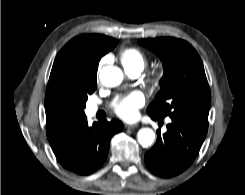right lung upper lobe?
<instances>
[{"label": "right lung upper lobe", "instance_id": "right-lung-upper-lobe-1", "mask_svg": "<svg viewBox=\"0 0 245 195\" xmlns=\"http://www.w3.org/2000/svg\"><path fill=\"white\" fill-rule=\"evenodd\" d=\"M114 43L116 39L105 35L84 34L70 40L57 54L45 94L46 133L51 146L65 140L86 118L75 96L78 67H98Z\"/></svg>", "mask_w": 245, "mask_h": 195}]
</instances>
